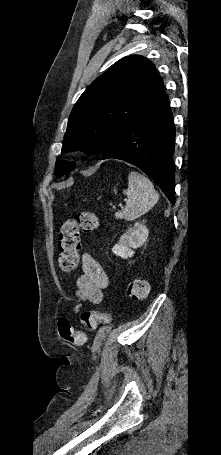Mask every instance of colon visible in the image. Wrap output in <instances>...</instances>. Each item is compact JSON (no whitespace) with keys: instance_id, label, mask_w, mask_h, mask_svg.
Returning a JSON list of instances; mask_svg holds the SVG:
<instances>
[{"instance_id":"1","label":"colon","mask_w":221,"mask_h":455,"mask_svg":"<svg viewBox=\"0 0 221 455\" xmlns=\"http://www.w3.org/2000/svg\"><path fill=\"white\" fill-rule=\"evenodd\" d=\"M98 228L99 219L95 213L90 211L78 212L62 224L58 241L60 252L58 263L61 270L71 272L76 269L81 248L80 234L92 233ZM127 294L132 300H145L149 295V283L142 278L135 279L128 284ZM106 320L107 315L100 311L86 310L80 315V322L87 329H94L99 323ZM58 332L61 338L70 345L80 346L85 343V333L75 330L66 317L59 319Z\"/></svg>"}]
</instances>
